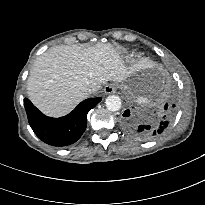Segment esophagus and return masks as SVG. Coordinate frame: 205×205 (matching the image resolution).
<instances>
[{
	"label": "esophagus",
	"instance_id": "esophagus-1",
	"mask_svg": "<svg viewBox=\"0 0 205 205\" xmlns=\"http://www.w3.org/2000/svg\"><path fill=\"white\" fill-rule=\"evenodd\" d=\"M116 91V86L114 84H107L105 87H104V92L106 94H112Z\"/></svg>",
	"mask_w": 205,
	"mask_h": 205
}]
</instances>
